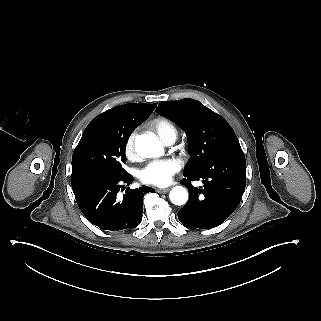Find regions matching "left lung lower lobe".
I'll list each match as a JSON object with an SVG mask.
<instances>
[{"instance_id":"0a47b994","label":"left lung lower lobe","mask_w":321,"mask_h":321,"mask_svg":"<svg viewBox=\"0 0 321 321\" xmlns=\"http://www.w3.org/2000/svg\"><path fill=\"white\" fill-rule=\"evenodd\" d=\"M180 181L190 194L178 212L180 222L189 228L210 229L223 223L237 208L246 186V160L242 150L215 156L200 170L184 173ZM201 180L198 189L191 181Z\"/></svg>"}]
</instances>
